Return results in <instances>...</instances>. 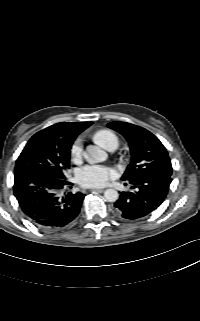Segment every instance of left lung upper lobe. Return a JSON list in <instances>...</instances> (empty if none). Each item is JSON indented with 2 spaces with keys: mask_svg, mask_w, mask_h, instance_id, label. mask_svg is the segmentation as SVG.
<instances>
[{
  "mask_svg": "<svg viewBox=\"0 0 200 321\" xmlns=\"http://www.w3.org/2000/svg\"><path fill=\"white\" fill-rule=\"evenodd\" d=\"M108 127L121 133L130 146L132 161L122 180L154 174L171 176L172 165L167 150L155 135L126 122H110Z\"/></svg>",
  "mask_w": 200,
  "mask_h": 321,
  "instance_id": "left-lung-upper-lobe-1",
  "label": "left lung upper lobe"
}]
</instances>
